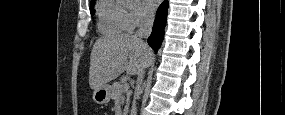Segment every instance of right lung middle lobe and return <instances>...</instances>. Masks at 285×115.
Wrapping results in <instances>:
<instances>
[{"label": "right lung middle lobe", "instance_id": "right-lung-middle-lobe-1", "mask_svg": "<svg viewBox=\"0 0 285 115\" xmlns=\"http://www.w3.org/2000/svg\"><path fill=\"white\" fill-rule=\"evenodd\" d=\"M94 4H95V1L91 2V6H90V11H91L92 16L94 15Z\"/></svg>", "mask_w": 285, "mask_h": 115}]
</instances>
